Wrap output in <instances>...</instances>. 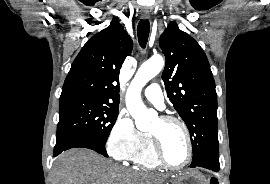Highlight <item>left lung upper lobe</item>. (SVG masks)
Returning a JSON list of instances; mask_svg holds the SVG:
<instances>
[{"label": "left lung upper lobe", "mask_w": 270, "mask_h": 184, "mask_svg": "<svg viewBox=\"0 0 270 184\" xmlns=\"http://www.w3.org/2000/svg\"><path fill=\"white\" fill-rule=\"evenodd\" d=\"M166 58L162 79L167 97L190 132L191 165L219 156L217 94L207 57L200 45L172 21L159 40Z\"/></svg>", "instance_id": "left-lung-upper-lobe-1"}]
</instances>
